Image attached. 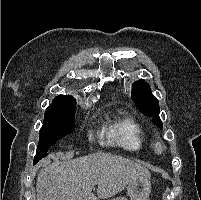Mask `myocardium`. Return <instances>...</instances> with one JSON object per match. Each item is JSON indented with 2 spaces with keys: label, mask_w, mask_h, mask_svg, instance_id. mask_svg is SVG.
I'll return each instance as SVG.
<instances>
[{
  "label": "myocardium",
  "mask_w": 201,
  "mask_h": 200,
  "mask_svg": "<svg viewBox=\"0 0 201 200\" xmlns=\"http://www.w3.org/2000/svg\"><path fill=\"white\" fill-rule=\"evenodd\" d=\"M155 150L157 153L161 154L164 151V145L161 142L155 144Z\"/></svg>",
  "instance_id": "myocardium-1"
}]
</instances>
